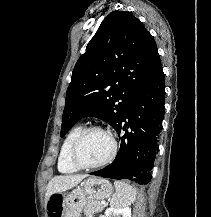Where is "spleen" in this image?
Masks as SVG:
<instances>
[{
    "label": "spleen",
    "mask_w": 211,
    "mask_h": 217,
    "mask_svg": "<svg viewBox=\"0 0 211 217\" xmlns=\"http://www.w3.org/2000/svg\"><path fill=\"white\" fill-rule=\"evenodd\" d=\"M116 193L111 200V206L122 208L132 204L136 199V190L123 181L114 182Z\"/></svg>",
    "instance_id": "obj_1"
}]
</instances>
